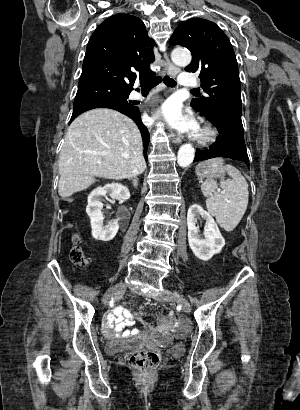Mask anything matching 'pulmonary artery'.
I'll use <instances>...</instances> for the list:
<instances>
[{"label":"pulmonary artery","mask_w":300,"mask_h":410,"mask_svg":"<svg viewBox=\"0 0 300 410\" xmlns=\"http://www.w3.org/2000/svg\"><path fill=\"white\" fill-rule=\"evenodd\" d=\"M179 83L183 87H196L198 85V79L195 75L193 74H188V73H182L179 79ZM132 98L134 100H139L143 101L144 98L141 96V94L134 92L132 94Z\"/></svg>","instance_id":"1"}]
</instances>
